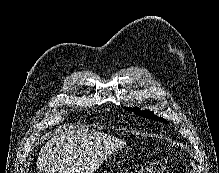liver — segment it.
I'll return each instance as SVG.
<instances>
[{"label":"liver","instance_id":"obj_1","mask_svg":"<svg viewBox=\"0 0 219 173\" xmlns=\"http://www.w3.org/2000/svg\"><path fill=\"white\" fill-rule=\"evenodd\" d=\"M125 145L102 132L67 126L41 148L36 167L39 173H93Z\"/></svg>","mask_w":219,"mask_h":173}]
</instances>
